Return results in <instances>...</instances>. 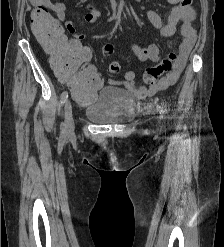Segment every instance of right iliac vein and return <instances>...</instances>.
I'll return each mask as SVG.
<instances>
[{
    "label": "right iliac vein",
    "instance_id": "obj_1",
    "mask_svg": "<svg viewBox=\"0 0 224 247\" xmlns=\"http://www.w3.org/2000/svg\"><path fill=\"white\" fill-rule=\"evenodd\" d=\"M64 116L66 121V132L70 134L73 132L75 126L72 114V105L70 101H66L65 103Z\"/></svg>",
    "mask_w": 224,
    "mask_h": 247
}]
</instances>
